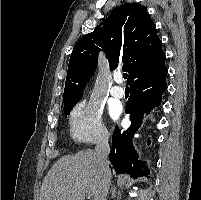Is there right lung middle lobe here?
Segmentation results:
<instances>
[{
  "mask_svg": "<svg viewBox=\"0 0 201 200\" xmlns=\"http://www.w3.org/2000/svg\"><path fill=\"white\" fill-rule=\"evenodd\" d=\"M80 99L81 98L71 99V100L64 101V113H65V115H67V114H69L71 112V110L73 109V107L77 104V102Z\"/></svg>",
  "mask_w": 201,
  "mask_h": 200,
  "instance_id": "1",
  "label": "right lung middle lobe"
}]
</instances>
